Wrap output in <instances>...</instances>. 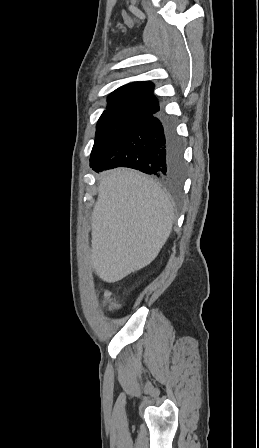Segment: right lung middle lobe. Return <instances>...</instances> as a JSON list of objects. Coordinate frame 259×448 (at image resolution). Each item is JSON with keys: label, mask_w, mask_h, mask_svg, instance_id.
Wrapping results in <instances>:
<instances>
[{"label": "right lung middle lobe", "mask_w": 259, "mask_h": 448, "mask_svg": "<svg viewBox=\"0 0 259 448\" xmlns=\"http://www.w3.org/2000/svg\"><path fill=\"white\" fill-rule=\"evenodd\" d=\"M137 113H103L96 126V136L94 146L90 156V166L92 167L102 152L121 134L133 121L141 118Z\"/></svg>", "instance_id": "dd1d6c3e"}]
</instances>
